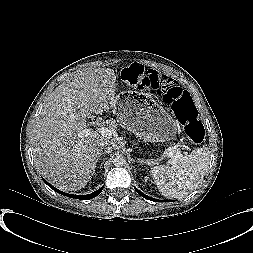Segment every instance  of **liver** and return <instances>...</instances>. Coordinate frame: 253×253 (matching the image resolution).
Here are the masks:
<instances>
[{"label": "liver", "mask_w": 253, "mask_h": 253, "mask_svg": "<svg viewBox=\"0 0 253 253\" xmlns=\"http://www.w3.org/2000/svg\"><path fill=\"white\" fill-rule=\"evenodd\" d=\"M115 82V73L109 68L78 70L55 88L36 119L34 164L59 189L85 187L103 149L114 142L89 129L87 118L113 109Z\"/></svg>", "instance_id": "obj_1"}]
</instances>
